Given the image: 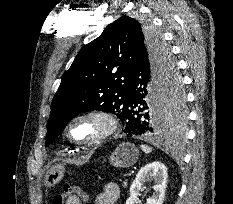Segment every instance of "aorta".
I'll return each mask as SVG.
<instances>
[{
    "label": "aorta",
    "instance_id": "obj_1",
    "mask_svg": "<svg viewBox=\"0 0 233 204\" xmlns=\"http://www.w3.org/2000/svg\"><path fill=\"white\" fill-rule=\"evenodd\" d=\"M152 107H153V110L155 112H159L162 109V107L160 105H157V104H152Z\"/></svg>",
    "mask_w": 233,
    "mask_h": 204
}]
</instances>
